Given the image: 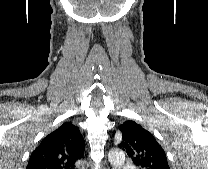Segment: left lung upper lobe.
<instances>
[{
    "label": "left lung upper lobe",
    "mask_w": 208,
    "mask_h": 169,
    "mask_svg": "<svg viewBox=\"0 0 208 169\" xmlns=\"http://www.w3.org/2000/svg\"><path fill=\"white\" fill-rule=\"evenodd\" d=\"M119 130L123 139L119 147L126 151L139 169H170L164 150L141 125L126 121Z\"/></svg>",
    "instance_id": "obj_1"
}]
</instances>
